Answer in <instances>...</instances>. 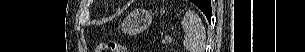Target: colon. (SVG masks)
<instances>
[{
	"instance_id": "5ec220e1",
	"label": "colon",
	"mask_w": 305,
	"mask_h": 52,
	"mask_svg": "<svg viewBox=\"0 0 305 52\" xmlns=\"http://www.w3.org/2000/svg\"><path fill=\"white\" fill-rule=\"evenodd\" d=\"M96 52H127L126 47L115 41H103L97 46Z\"/></svg>"
}]
</instances>
